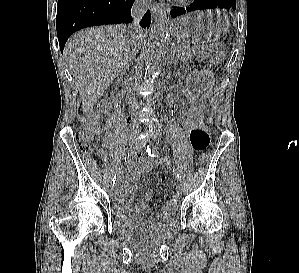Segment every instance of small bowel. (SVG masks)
<instances>
[{"mask_svg": "<svg viewBox=\"0 0 299 273\" xmlns=\"http://www.w3.org/2000/svg\"><path fill=\"white\" fill-rule=\"evenodd\" d=\"M179 105L180 115L187 119L191 111V100L188 96H179L177 99ZM189 134V139L192 145V148L195 151L201 152L208 146L209 143V134L207 127L202 124L200 126H186ZM155 164L148 159H136L131 163L120 183L119 190L117 193V203L119 208L123 212L130 213L134 215L137 219H141L144 215L145 210L148 207V204L152 198V192H146L135 204L134 208L131 210L130 206L133 201L134 196L138 192L139 187L137 185L130 184L131 182L137 180L143 175L148 174ZM165 175L160 176V180H165ZM176 211V207L171 206L169 203L162 206L160 211V218L166 219L171 217Z\"/></svg>", "mask_w": 299, "mask_h": 273, "instance_id": "c3829d8e", "label": "small bowel"}]
</instances>
